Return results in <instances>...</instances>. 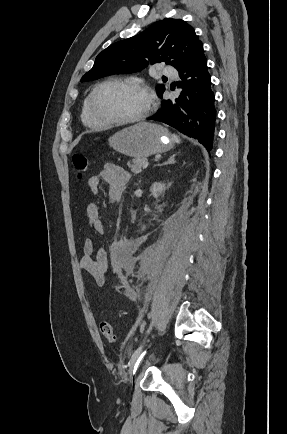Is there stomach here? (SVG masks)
Segmentation results:
<instances>
[{"label":"stomach","mask_w":287,"mask_h":434,"mask_svg":"<svg viewBox=\"0 0 287 434\" xmlns=\"http://www.w3.org/2000/svg\"><path fill=\"white\" fill-rule=\"evenodd\" d=\"M108 141L117 152L136 159L167 152L175 145L174 137L166 128L149 122L122 129Z\"/></svg>","instance_id":"0dacf381"}]
</instances>
